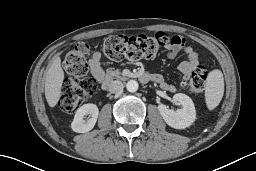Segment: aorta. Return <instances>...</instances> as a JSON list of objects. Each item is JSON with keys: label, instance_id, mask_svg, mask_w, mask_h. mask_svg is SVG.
Here are the masks:
<instances>
[{"label": "aorta", "instance_id": "1", "mask_svg": "<svg viewBox=\"0 0 256 171\" xmlns=\"http://www.w3.org/2000/svg\"><path fill=\"white\" fill-rule=\"evenodd\" d=\"M126 88L129 92H136L138 90V83L135 80H130L127 82Z\"/></svg>", "mask_w": 256, "mask_h": 171}]
</instances>
